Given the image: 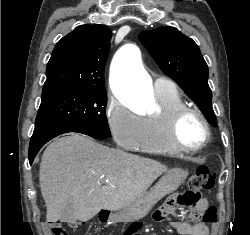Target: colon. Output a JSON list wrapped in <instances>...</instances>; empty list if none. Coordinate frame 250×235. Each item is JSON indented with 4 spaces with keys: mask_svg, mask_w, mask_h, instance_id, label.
<instances>
[{
    "mask_svg": "<svg viewBox=\"0 0 250 235\" xmlns=\"http://www.w3.org/2000/svg\"><path fill=\"white\" fill-rule=\"evenodd\" d=\"M215 173L208 166H201L196 169L190 177L187 190L181 194L180 202L187 206H195L201 200L202 191L213 188L215 184ZM203 222L213 224L217 221V212L215 207L206 209L202 217ZM53 235H70L67 228L58 221L50 222Z\"/></svg>",
    "mask_w": 250,
    "mask_h": 235,
    "instance_id": "obj_1",
    "label": "colon"
}]
</instances>
